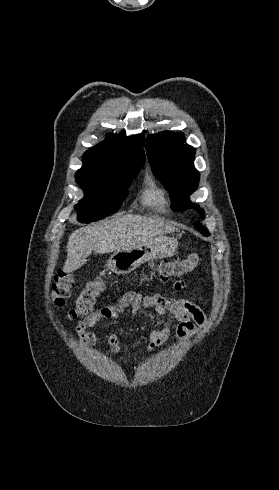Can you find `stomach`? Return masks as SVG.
<instances>
[{
    "instance_id": "obj_1",
    "label": "stomach",
    "mask_w": 279,
    "mask_h": 490,
    "mask_svg": "<svg viewBox=\"0 0 279 490\" xmlns=\"http://www.w3.org/2000/svg\"><path fill=\"white\" fill-rule=\"evenodd\" d=\"M178 242L176 238H167V236H159L148 242L136 244L133 248L126 250H118L110 256L106 268L111 270L118 276H126L136 270L145 262L152 260H162V258H172L178 254Z\"/></svg>"
}]
</instances>
